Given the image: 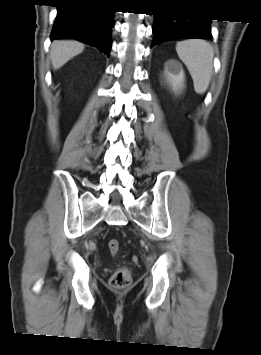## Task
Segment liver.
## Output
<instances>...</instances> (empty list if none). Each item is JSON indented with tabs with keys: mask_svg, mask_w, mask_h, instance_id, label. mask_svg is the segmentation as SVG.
<instances>
[{
	"mask_svg": "<svg viewBox=\"0 0 261 355\" xmlns=\"http://www.w3.org/2000/svg\"><path fill=\"white\" fill-rule=\"evenodd\" d=\"M84 44L77 41H54L51 45L50 59L54 70L59 69L71 58L83 52Z\"/></svg>",
	"mask_w": 261,
	"mask_h": 355,
	"instance_id": "liver-1",
	"label": "liver"
}]
</instances>
